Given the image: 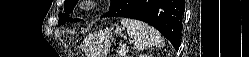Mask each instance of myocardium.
<instances>
[{"mask_svg": "<svg viewBox=\"0 0 249 57\" xmlns=\"http://www.w3.org/2000/svg\"><path fill=\"white\" fill-rule=\"evenodd\" d=\"M96 4V1L94 0H84L82 1V10L87 12V11H91L94 6Z\"/></svg>", "mask_w": 249, "mask_h": 57, "instance_id": "1", "label": "myocardium"}]
</instances>
